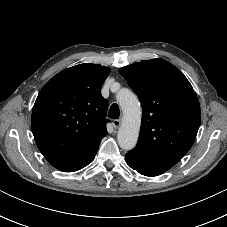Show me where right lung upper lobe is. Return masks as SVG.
<instances>
[{"mask_svg":"<svg viewBox=\"0 0 227 227\" xmlns=\"http://www.w3.org/2000/svg\"><path fill=\"white\" fill-rule=\"evenodd\" d=\"M110 69L79 64L51 78L35 101L31 127L38 149L55 168L72 172L88 165L107 135L108 102L101 86Z\"/></svg>","mask_w":227,"mask_h":227,"instance_id":"right-lung-upper-lobe-1","label":"right lung upper lobe"}]
</instances>
